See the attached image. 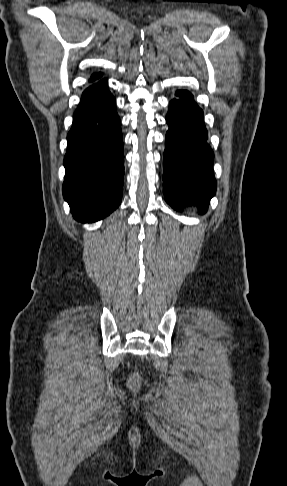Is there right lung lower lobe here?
I'll return each instance as SVG.
<instances>
[{
  "instance_id": "right-lung-lower-lobe-1",
  "label": "right lung lower lobe",
  "mask_w": 287,
  "mask_h": 486,
  "mask_svg": "<svg viewBox=\"0 0 287 486\" xmlns=\"http://www.w3.org/2000/svg\"><path fill=\"white\" fill-rule=\"evenodd\" d=\"M67 140L63 196L76 220L103 219L120 205L124 179L120 119L107 79L83 92Z\"/></svg>"
}]
</instances>
